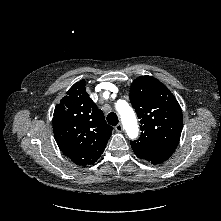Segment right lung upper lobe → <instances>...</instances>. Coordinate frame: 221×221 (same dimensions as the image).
I'll list each match as a JSON object with an SVG mask.
<instances>
[{"label": "right lung upper lobe", "mask_w": 221, "mask_h": 221, "mask_svg": "<svg viewBox=\"0 0 221 221\" xmlns=\"http://www.w3.org/2000/svg\"><path fill=\"white\" fill-rule=\"evenodd\" d=\"M84 87L85 80L75 83L57 104L53 116V132L60 150L81 166L98 160L113 130Z\"/></svg>", "instance_id": "obj_1"}]
</instances>
